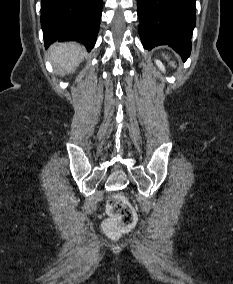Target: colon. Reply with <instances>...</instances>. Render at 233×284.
I'll return each instance as SVG.
<instances>
[{
    "label": "colon",
    "mask_w": 233,
    "mask_h": 284,
    "mask_svg": "<svg viewBox=\"0 0 233 284\" xmlns=\"http://www.w3.org/2000/svg\"><path fill=\"white\" fill-rule=\"evenodd\" d=\"M108 220L105 229L108 232L128 229L136 222V213L127 199L120 194L111 196L107 202Z\"/></svg>",
    "instance_id": "5ec220e1"
}]
</instances>
